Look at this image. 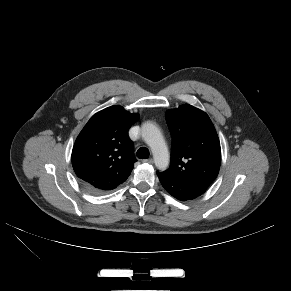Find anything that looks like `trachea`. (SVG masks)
Listing matches in <instances>:
<instances>
[{"mask_svg": "<svg viewBox=\"0 0 291 291\" xmlns=\"http://www.w3.org/2000/svg\"><path fill=\"white\" fill-rule=\"evenodd\" d=\"M149 150L146 147H141L137 151V157L139 159H147L149 157Z\"/></svg>", "mask_w": 291, "mask_h": 291, "instance_id": "3493384b", "label": "trachea"}]
</instances>
